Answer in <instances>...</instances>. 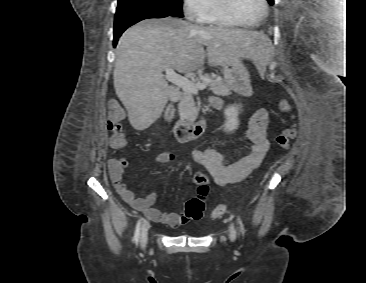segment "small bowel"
Masks as SVG:
<instances>
[{
  "label": "small bowel",
  "mask_w": 366,
  "mask_h": 283,
  "mask_svg": "<svg viewBox=\"0 0 366 283\" xmlns=\"http://www.w3.org/2000/svg\"><path fill=\"white\" fill-rule=\"evenodd\" d=\"M211 105L216 109L223 107V102L216 97L211 98ZM269 113L266 109L256 110L250 117L247 129V139L251 142V150L243 158L232 161L228 154L215 149H194L191 152L192 160L203 166L219 186L232 185L241 182L261 164L265 158L269 141L267 129ZM176 156L171 152H162L156 157L159 163H171ZM127 161L114 157L108 160L110 179L122 199L137 211L142 212L147 218L157 223L176 228L187 220L177 213H166L152 207L156 201V193L151 192L143 198H136L134 193L123 182V175Z\"/></svg>",
  "instance_id": "1"
}]
</instances>
